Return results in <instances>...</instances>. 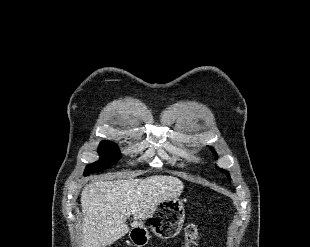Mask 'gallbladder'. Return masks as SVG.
Returning a JSON list of instances; mask_svg holds the SVG:
<instances>
[{"mask_svg": "<svg viewBox=\"0 0 310 247\" xmlns=\"http://www.w3.org/2000/svg\"><path fill=\"white\" fill-rule=\"evenodd\" d=\"M99 247H105V246L101 245V246H99Z\"/></svg>", "mask_w": 310, "mask_h": 247, "instance_id": "1", "label": "gallbladder"}]
</instances>
